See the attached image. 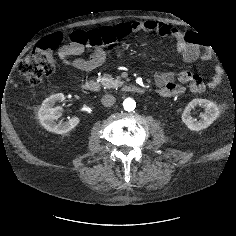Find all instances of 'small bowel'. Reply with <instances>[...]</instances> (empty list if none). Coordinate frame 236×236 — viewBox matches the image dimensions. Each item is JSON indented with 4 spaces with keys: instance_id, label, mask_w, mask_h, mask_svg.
I'll return each instance as SVG.
<instances>
[{
    "instance_id": "1",
    "label": "small bowel",
    "mask_w": 236,
    "mask_h": 236,
    "mask_svg": "<svg viewBox=\"0 0 236 236\" xmlns=\"http://www.w3.org/2000/svg\"><path fill=\"white\" fill-rule=\"evenodd\" d=\"M130 32H154L161 37H172L176 42V50L184 62H193L200 55L197 46L196 35L193 32H182L178 28L171 27L165 22L155 20L134 21L128 24ZM84 52L83 45L70 42L61 45L57 54L62 63L74 67L80 71L90 72L100 67L105 59V50H95L89 57L83 58L80 55ZM208 58L207 54H203ZM155 84L158 87V93L162 97H176L185 93L186 86L193 93H201L205 90L206 85L199 74L190 71H181L178 74L172 72H157L154 76ZM222 80V71L216 70L209 87L216 88Z\"/></svg>"
}]
</instances>
